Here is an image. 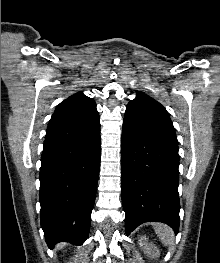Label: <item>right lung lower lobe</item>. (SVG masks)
<instances>
[{
    "instance_id": "obj_1",
    "label": "right lung lower lobe",
    "mask_w": 220,
    "mask_h": 263,
    "mask_svg": "<svg viewBox=\"0 0 220 263\" xmlns=\"http://www.w3.org/2000/svg\"><path fill=\"white\" fill-rule=\"evenodd\" d=\"M100 126L80 138L45 137L40 168L41 227L49 248L88 237L100 166Z\"/></svg>"
}]
</instances>
